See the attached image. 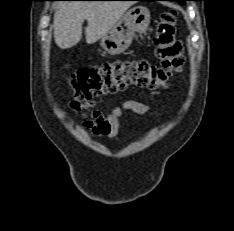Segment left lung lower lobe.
<instances>
[{
  "label": "left lung lower lobe",
  "mask_w": 234,
  "mask_h": 231,
  "mask_svg": "<svg viewBox=\"0 0 234 231\" xmlns=\"http://www.w3.org/2000/svg\"><path fill=\"white\" fill-rule=\"evenodd\" d=\"M149 1H152V0H149ZM167 1H176V0H167Z\"/></svg>",
  "instance_id": "1"
}]
</instances>
